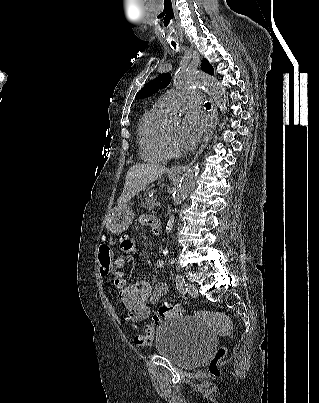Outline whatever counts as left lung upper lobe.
<instances>
[{
  "label": "left lung upper lobe",
  "mask_w": 319,
  "mask_h": 403,
  "mask_svg": "<svg viewBox=\"0 0 319 403\" xmlns=\"http://www.w3.org/2000/svg\"><path fill=\"white\" fill-rule=\"evenodd\" d=\"M202 70L213 74L214 70L212 65L206 60H202L201 64ZM171 81V75L169 73L161 74L157 78L152 81H149L136 95L135 99L146 98L154 93H156L159 89H163L168 86Z\"/></svg>",
  "instance_id": "obj_1"
}]
</instances>
